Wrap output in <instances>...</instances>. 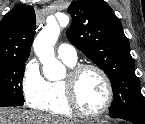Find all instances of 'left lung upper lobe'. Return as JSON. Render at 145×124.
Here are the masks:
<instances>
[{
  "instance_id": "1",
  "label": "left lung upper lobe",
  "mask_w": 145,
  "mask_h": 124,
  "mask_svg": "<svg viewBox=\"0 0 145 124\" xmlns=\"http://www.w3.org/2000/svg\"><path fill=\"white\" fill-rule=\"evenodd\" d=\"M67 38L107 74L113 89L111 117L145 120V102L135 75L129 41L120 20L104 0H76L68 8Z\"/></svg>"
}]
</instances>
